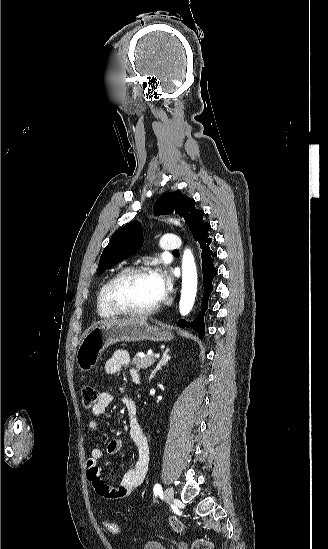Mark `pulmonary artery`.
Listing matches in <instances>:
<instances>
[{
    "mask_svg": "<svg viewBox=\"0 0 328 549\" xmlns=\"http://www.w3.org/2000/svg\"><path fill=\"white\" fill-rule=\"evenodd\" d=\"M156 247L161 252H176L179 250L180 245L176 237H165L164 241H161Z\"/></svg>",
    "mask_w": 328,
    "mask_h": 549,
    "instance_id": "1",
    "label": "pulmonary artery"
}]
</instances>
